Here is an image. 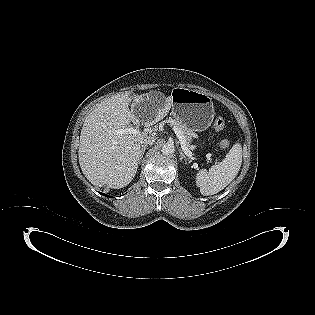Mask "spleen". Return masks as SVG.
Here are the masks:
<instances>
[{
    "mask_svg": "<svg viewBox=\"0 0 315 315\" xmlns=\"http://www.w3.org/2000/svg\"><path fill=\"white\" fill-rule=\"evenodd\" d=\"M242 164V147L235 143L223 161L213 165L209 171L201 169L196 174V184L204 196L223 190L238 174Z\"/></svg>",
    "mask_w": 315,
    "mask_h": 315,
    "instance_id": "obj_1",
    "label": "spleen"
}]
</instances>
